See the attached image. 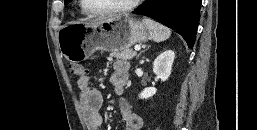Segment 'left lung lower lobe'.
I'll list each match as a JSON object with an SVG mask.
<instances>
[{
	"mask_svg": "<svg viewBox=\"0 0 257 130\" xmlns=\"http://www.w3.org/2000/svg\"><path fill=\"white\" fill-rule=\"evenodd\" d=\"M202 0H146L135 14L155 19L176 30L192 48L196 39Z\"/></svg>",
	"mask_w": 257,
	"mask_h": 130,
	"instance_id": "0a47b994",
	"label": "left lung lower lobe"
}]
</instances>
